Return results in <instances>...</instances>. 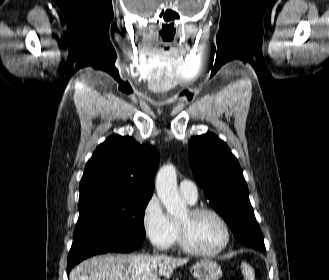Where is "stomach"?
I'll return each instance as SVG.
<instances>
[{
  "label": "stomach",
  "instance_id": "obj_1",
  "mask_svg": "<svg viewBox=\"0 0 329 280\" xmlns=\"http://www.w3.org/2000/svg\"><path fill=\"white\" fill-rule=\"evenodd\" d=\"M190 271L198 280H219L222 277L221 267L209 259L195 263Z\"/></svg>",
  "mask_w": 329,
  "mask_h": 280
}]
</instances>
